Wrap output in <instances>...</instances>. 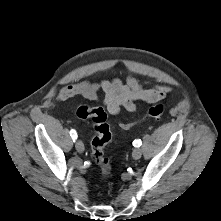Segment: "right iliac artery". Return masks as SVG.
Masks as SVG:
<instances>
[{
	"instance_id": "82829eb1",
	"label": "right iliac artery",
	"mask_w": 221,
	"mask_h": 221,
	"mask_svg": "<svg viewBox=\"0 0 221 221\" xmlns=\"http://www.w3.org/2000/svg\"><path fill=\"white\" fill-rule=\"evenodd\" d=\"M70 136L72 137L73 140L77 139V133L75 132V130L70 131Z\"/></svg>"
}]
</instances>
